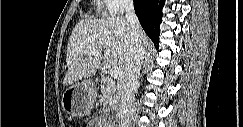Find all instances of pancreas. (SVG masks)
Here are the masks:
<instances>
[{
    "label": "pancreas",
    "instance_id": "cf45deb5",
    "mask_svg": "<svg viewBox=\"0 0 243 127\" xmlns=\"http://www.w3.org/2000/svg\"><path fill=\"white\" fill-rule=\"evenodd\" d=\"M101 93L104 99V106L116 109L120 98V91L116 88L115 82L108 80L101 86Z\"/></svg>",
    "mask_w": 243,
    "mask_h": 127
}]
</instances>
